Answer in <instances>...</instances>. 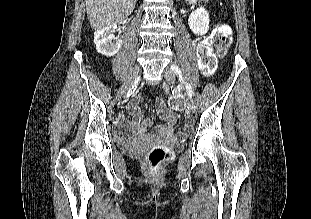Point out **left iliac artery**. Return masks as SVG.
I'll return each mask as SVG.
<instances>
[{"mask_svg":"<svg viewBox=\"0 0 311 219\" xmlns=\"http://www.w3.org/2000/svg\"><path fill=\"white\" fill-rule=\"evenodd\" d=\"M171 69H172V71H173L176 75L179 76V80H180L181 82L185 83L187 94H188V96L191 98L192 95H193V89H192V87H191L190 84H188L187 82H185V80H184V78H183V76H182V73H181L180 68H179L176 64H173V65L171 66Z\"/></svg>","mask_w":311,"mask_h":219,"instance_id":"left-iliac-artery-1","label":"left iliac artery"}]
</instances>
